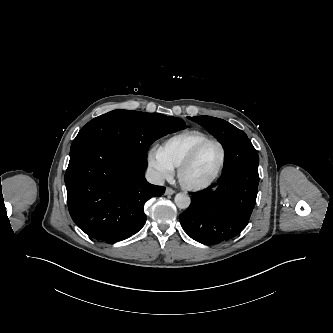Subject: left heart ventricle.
<instances>
[{
	"label": "left heart ventricle",
	"instance_id": "obj_1",
	"mask_svg": "<svg viewBox=\"0 0 333 333\" xmlns=\"http://www.w3.org/2000/svg\"><path fill=\"white\" fill-rule=\"evenodd\" d=\"M221 158V152L216 144L204 146L196 159L185 172V178L192 183L207 180L216 170Z\"/></svg>",
	"mask_w": 333,
	"mask_h": 333
}]
</instances>
